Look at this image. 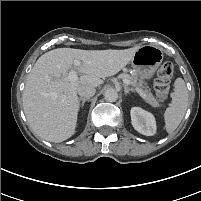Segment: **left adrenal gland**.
<instances>
[{"label":"left adrenal gland","mask_w":201,"mask_h":201,"mask_svg":"<svg viewBox=\"0 0 201 201\" xmlns=\"http://www.w3.org/2000/svg\"><path fill=\"white\" fill-rule=\"evenodd\" d=\"M124 91H125V94H128L129 91H133L132 89L128 88L127 85H124Z\"/></svg>","instance_id":"obj_1"}]
</instances>
